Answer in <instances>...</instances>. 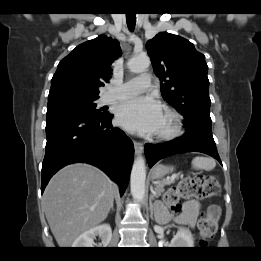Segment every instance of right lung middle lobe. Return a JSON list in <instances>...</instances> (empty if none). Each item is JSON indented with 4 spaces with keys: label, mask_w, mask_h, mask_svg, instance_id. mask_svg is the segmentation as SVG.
<instances>
[{
    "label": "right lung middle lobe",
    "mask_w": 261,
    "mask_h": 261,
    "mask_svg": "<svg viewBox=\"0 0 261 261\" xmlns=\"http://www.w3.org/2000/svg\"><path fill=\"white\" fill-rule=\"evenodd\" d=\"M98 98L84 97L76 94H58L48 98L47 118L66 114L78 113L88 116H100L95 101Z\"/></svg>",
    "instance_id": "obj_1"
}]
</instances>
